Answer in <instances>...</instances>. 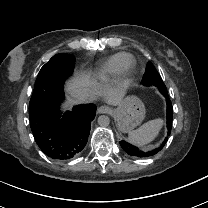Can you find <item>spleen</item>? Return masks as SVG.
Listing matches in <instances>:
<instances>
[{"label": "spleen", "instance_id": "1", "mask_svg": "<svg viewBox=\"0 0 208 208\" xmlns=\"http://www.w3.org/2000/svg\"><path fill=\"white\" fill-rule=\"evenodd\" d=\"M163 126V120L158 118L150 120L140 126L138 129L129 132L128 141L136 146H143L158 135Z\"/></svg>", "mask_w": 208, "mask_h": 208}]
</instances>
